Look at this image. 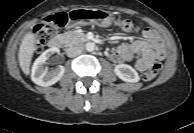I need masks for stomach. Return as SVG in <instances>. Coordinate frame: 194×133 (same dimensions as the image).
<instances>
[{"label": "stomach", "mask_w": 194, "mask_h": 133, "mask_svg": "<svg viewBox=\"0 0 194 133\" xmlns=\"http://www.w3.org/2000/svg\"><path fill=\"white\" fill-rule=\"evenodd\" d=\"M112 14L100 9L77 8L73 9L69 15V26H85L96 24L101 27H108L112 24Z\"/></svg>", "instance_id": "1"}]
</instances>
